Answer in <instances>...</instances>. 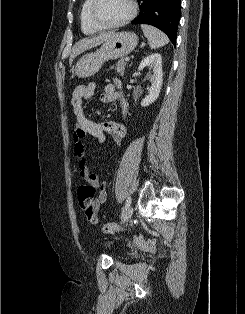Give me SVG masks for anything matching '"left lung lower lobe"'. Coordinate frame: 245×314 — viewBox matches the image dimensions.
Segmentation results:
<instances>
[{"label": "left lung lower lobe", "instance_id": "left-lung-lower-lobe-1", "mask_svg": "<svg viewBox=\"0 0 245 314\" xmlns=\"http://www.w3.org/2000/svg\"><path fill=\"white\" fill-rule=\"evenodd\" d=\"M140 13L132 23L155 26L175 45L180 20L181 0H137Z\"/></svg>", "mask_w": 245, "mask_h": 314}]
</instances>
